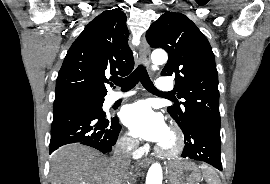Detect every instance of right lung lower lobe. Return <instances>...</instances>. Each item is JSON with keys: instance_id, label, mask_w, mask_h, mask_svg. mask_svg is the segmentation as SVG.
Segmentation results:
<instances>
[{"instance_id": "right-lung-lower-lobe-1", "label": "right lung lower lobe", "mask_w": 270, "mask_h": 184, "mask_svg": "<svg viewBox=\"0 0 270 184\" xmlns=\"http://www.w3.org/2000/svg\"><path fill=\"white\" fill-rule=\"evenodd\" d=\"M120 130L117 117L101 116L87 100L55 103L49 153L71 143H80L102 153H109Z\"/></svg>"}]
</instances>
